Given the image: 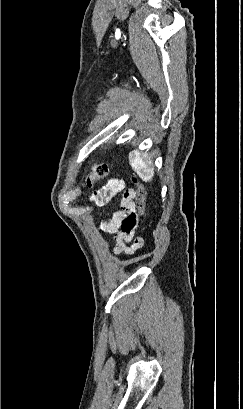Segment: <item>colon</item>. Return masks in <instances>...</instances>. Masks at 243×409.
<instances>
[{"label": "colon", "instance_id": "obj_1", "mask_svg": "<svg viewBox=\"0 0 243 409\" xmlns=\"http://www.w3.org/2000/svg\"><path fill=\"white\" fill-rule=\"evenodd\" d=\"M109 171V166L107 164H94L90 173L86 176L84 181L85 187H91L93 184L106 177ZM136 182V181H135ZM135 196H136V208H137V217L138 222L141 221L145 213L146 207V190L142 184L136 183L135 188Z\"/></svg>", "mask_w": 243, "mask_h": 409}]
</instances>
